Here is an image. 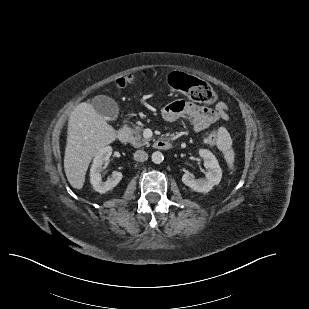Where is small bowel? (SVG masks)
I'll list each match as a JSON object with an SVG mask.
<instances>
[{
	"instance_id": "small-bowel-1",
	"label": "small bowel",
	"mask_w": 309,
	"mask_h": 309,
	"mask_svg": "<svg viewBox=\"0 0 309 309\" xmlns=\"http://www.w3.org/2000/svg\"><path fill=\"white\" fill-rule=\"evenodd\" d=\"M161 113L163 118L170 122L176 121L180 117L187 118L197 132L204 131L219 121L229 120V107L224 102H219L212 109L184 100H177L165 106Z\"/></svg>"
}]
</instances>
